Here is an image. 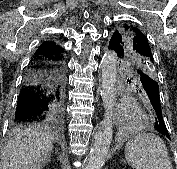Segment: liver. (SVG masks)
Returning <instances> with one entry per match:
<instances>
[{
  "instance_id": "obj_1",
  "label": "liver",
  "mask_w": 177,
  "mask_h": 169,
  "mask_svg": "<svg viewBox=\"0 0 177 169\" xmlns=\"http://www.w3.org/2000/svg\"><path fill=\"white\" fill-rule=\"evenodd\" d=\"M54 136L47 127H35L10 139L2 153L1 169H40L49 160Z\"/></svg>"
}]
</instances>
